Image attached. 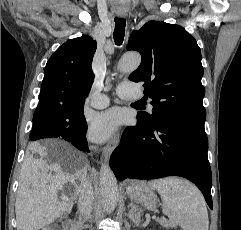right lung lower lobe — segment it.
I'll return each mask as SVG.
<instances>
[{
  "label": "right lung lower lobe",
  "instance_id": "right-lung-lower-lobe-1",
  "mask_svg": "<svg viewBox=\"0 0 241 230\" xmlns=\"http://www.w3.org/2000/svg\"><path fill=\"white\" fill-rule=\"evenodd\" d=\"M41 113H34V115H39ZM38 130V126H35L33 125L32 127V132H35ZM86 130L87 128L85 129V131L83 132V134H72V135H63V134H60V133H55L53 134L54 137H58V138H62L68 142H70L73 146H75L77 149L81 150V151H89L88 150V143H87V140H86Z\"/></svg>",
  "mask_w": 241,
  "mask_h": 230
}]
</instances>
